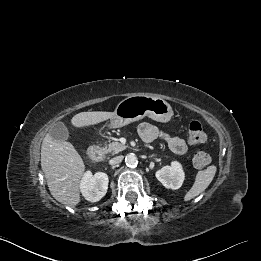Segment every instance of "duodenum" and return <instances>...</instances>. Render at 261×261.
Returning <instances> with one entry per match:
<instances>
[{
  "label": "duodenum",
  "instance_id": "1",
  "mask_svg": "<svg viewBox=\"0 0 261 261\" xmlns=\"http://www.w3.org/2000/svg\"><path fill=\"white\" fill-rule=\"evenodd\" d=\"M103 155L102 148L97 144L92 145L88 150V158L93 162H99L103 158Z\"/></svg>",
  "mask_w": 261,
  "mask_h": 261
}]
</instances>
